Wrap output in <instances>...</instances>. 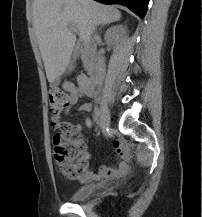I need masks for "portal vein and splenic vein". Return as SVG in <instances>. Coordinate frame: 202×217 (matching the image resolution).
Returning <instances> with one entry per match:
<instances>
[{
	"label": "portal vein and splenic vein",
	"instance_id": "obj_1",
	"mask_svg": "<svg viewBox=\"0 0 202 217\" xmlns=\"http://www.w3.org/2000/svg\"><path fill=\"white\" fill-rule=\"evenodd\" d=\"M69 28H70L72 31H74L75 33L78 32V29H77L75 26H73V25H69Z\"/></svg>",
	"mask_w": 202,
	"mask_h": 217
}]
</instances>
